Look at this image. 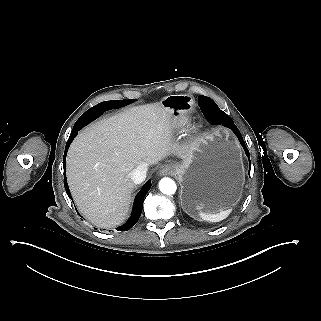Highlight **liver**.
<instances>
[{"label":"liver","instance_id":"obj_1","mask_svg":"<svg viewBox=\"0 0 321 321\" xmlns=\"http://www.w3.org/2000/svg\"><path fill=\"white\" fill-rule=\"evenodd\" d=\"M171 112L159 102L132 106L81 130L66 158L69 188L79 211L100 228L127 218L134 168L157 164L184 149L174 138Z\"/></svg>","mask_w":321,"mask_h":321}]
</instances>
